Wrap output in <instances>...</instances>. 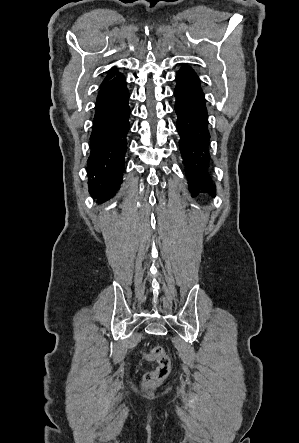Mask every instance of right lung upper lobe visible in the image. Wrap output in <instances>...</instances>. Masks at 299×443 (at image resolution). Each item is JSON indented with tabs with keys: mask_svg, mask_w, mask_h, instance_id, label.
I'll return each mask as SVG.
<instances>
[{
	"mask_svg": "<svg viewBox=\"0 0 299 443\" xmlns=\"http://www.w3.org/2000/svg\"><path fill=\"white\" fill-rule=\"evenodd\" d=\"M119 74H121V73H118V72H117V69H116L115 67H113V68L109 71V73H108V75L106 76V78L104 79L102 85L105 84V83H107L108 81H110L112 78L116 77V76L119 75Z\"/></svg>",
	"mask_w": 299,
	"mask_h": 443,
	"instance_id": "obj_1",
	"label": "right lung upper lobe"
}]
</instances>
